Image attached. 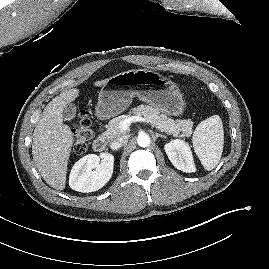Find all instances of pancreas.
Masks as SVG:
<instances>
[{
	"label": "pancreas",
	"instance_id": "obj_1",
	"mask_svg": "<svg viewBox=\"0 0 269 269\" xmlns=\"http://www.w3.org/2000/svg\"><path fill=\"white\" fill-rule=\"evenodd\" d=\"M131 114L143 116L144 119L151 123L156 129L168 133L176 134L182 132L183 136L192 135L193 122L191 120H177L174 121L162 114L158 108L148 105H139L132 109ZM130 115H121L111 119L108 123L107 130L103 133L104 138L113 139L124 135L126 131L120 128V123L129 118Z\"/></svg>",
	"mask_w": 269,
	"mask_h": 269
}]
</instances>
